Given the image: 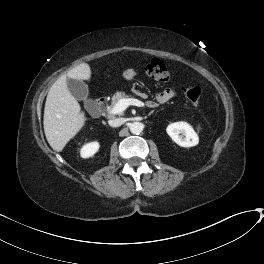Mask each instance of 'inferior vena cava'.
I'll list each match as a JSON object with an SVG mask.
<instances>
[{
    "label": "inferior vena cava",
    "instance_id": "inferior-vena-cava-1",
    "mask_svg": "<svg viewBox=\"0 0 264 264\" xmlns=\"http://www.w3.org/2000/svg\"><path fill=\"white\" fill-rule=\"evenodd\" d=\"M108 123L111 127H118L124 123V119L123 118H115V119L109 120Z\"/></svg>",
    "mask_w": 264,
    "mask_h": 264
}]
</instances>
